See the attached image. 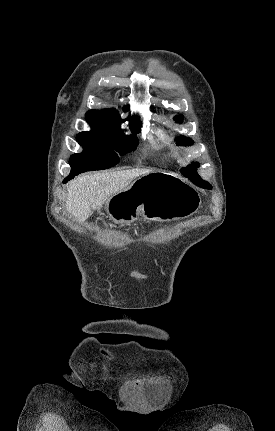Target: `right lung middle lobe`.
Masks as SVG:
<instances>
[{"label":"right lung middle lobe","mask_w":275,"mask_h":431,"mask_svg":"<svg viewBox=\"0 0 275 431\" xmlns=\"http://www.w3.org/2000/svg\"><path fill=\"white\" fill-rule=\"evenodd\" d=\"M89 132H80L77 142L83 152L73 154L69 160L70 176L86 171L104 170L116 165L119 156L134 150L138 145L136 136H126L117 122L89 123ZM135 130L138 128H133ZM134 134L136 131L133 132Z\"/></svg>","instance_id":"right-lung-middle-lobe-1"}]
</instances>
